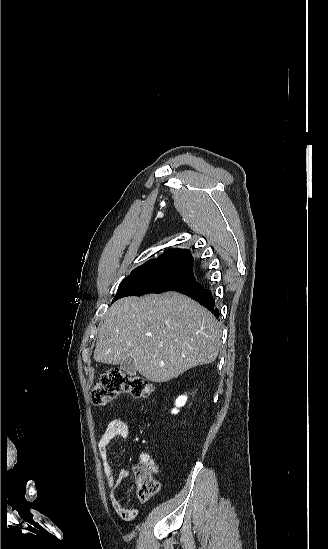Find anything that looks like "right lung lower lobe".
Instances as JSON below:
<instances>
[{"label":"right lung lower lobe","mask_w":328,"mask_h":549,"mask_svg":"<svg viewBox=\"0 0 328 549\" xmlns=\"http://www.w3.org/2000/svg\"><path fill=\"white\" fill-rule=\"evenodd\" d=\"M181 293H184L190 296L191 298L199 301L201 305L209 309L216 317L219 316V311L215 307V302L213 300L212 293L210 290L204 289L203 287H201L192 291H185Z\"/></svg>","instance_id":"1"}]
</instances>
